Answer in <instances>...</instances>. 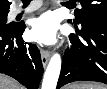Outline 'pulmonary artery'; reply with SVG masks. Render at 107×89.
Here are the masks:
<instances>
[{"label":"pulmonary artery","instance_id":"1","mask_svg":"<svg viewBox=\"0 0 107 89\" xmlns=\"http://www.w3.org/2000/svg\"><path fill=\"white\" fill-rule=\"evenodd\" d=\"M40 6H41V2L40 1H35L26 8H15V9H13L11 11V16L16 17L20 14H27V13L33 12L36 9H38Z\"/></svg>","mask_w":107,"mask_h":89}]
</instances>
